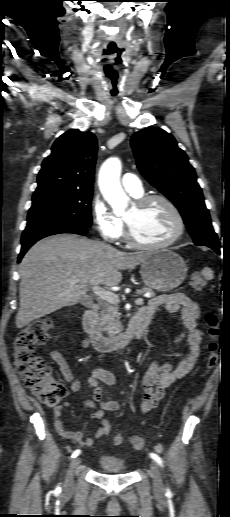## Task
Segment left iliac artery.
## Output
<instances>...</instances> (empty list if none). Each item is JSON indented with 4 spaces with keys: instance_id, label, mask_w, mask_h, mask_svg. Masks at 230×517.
<instances>
[{
    "instance_id": "1",
    "label": "left iliac artery",
    "mask_w": 230,
    "mask_h": 517,
    "mask_svg": "<svg viewBox=\"0 0 230 517\" xmlns=\"http://www.w3.org/2000/svg\"><path fill=\"white\" fill-rule=\"evenodd\" d=\"M150 457L152 459H154L161 467L163 466V461H162V459H161V457L159 455H157L155 453H150ZM167 494L168 495L171 494V491H170L169 488H167Z\"/></svg>"
}]
</instances>
